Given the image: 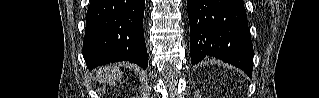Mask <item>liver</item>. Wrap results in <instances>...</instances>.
<instances>
[{"label": "liver", "instance_id": "6515ba94", "mask_svg": "<svg viewBox=\"0 0 319 98\" xmlns=\"http://www.w3.org/2000/svg\"><path fill=\"white\" fill-rule=\"evenodd\" d=\"M96 78L99 82L115 85L122 78V72L117 66H105L99 69Z\"/></svg>", "mask_w": 319, "mask_h": 98}]
</instances>
